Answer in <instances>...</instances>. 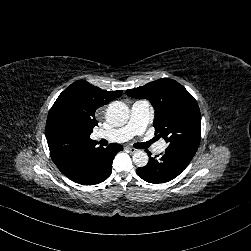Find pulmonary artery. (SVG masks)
<instances>
[{
	"label": "pulmonary artery",
	"mask_w": 251,
	"mask_h": 251,
	"mask_svg": "<svg viewBox=\"0 0 251 251\" xmlns=\"http://www.w3.org/2000/svg\"><path fill=\"white\" fill-rule=\"evenodd\" d=\"M150 114V105L146 101H137L133 103L130 110V118L123 127L113 129L107 133V139L116 143L129 141L134 135L140 133L145 128ZM141 142L147 141L146 135L140 136ZM157 152L164 150L162 142L156 143Z\"/></svg>",
	"instance_id": "obj_1"
}]
</instances>
